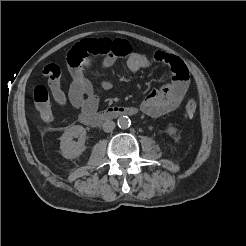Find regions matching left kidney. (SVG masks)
Instances as JSON below:
<instances>
[{
  "label": "left kidney",
  "mask_w": 246,
  "mask_h": 246,
  "mask_svg": "<svg viewBox=\"0 0 246 246\" xmlns=\"http://www.w3.org/2000/svg\"><path fill=\"white\" fill-rule=\"evenodd\" d=\"M166 133L169 134L170 136L176 135L177 128L174 126H168L166 129Z\"/></svg>",
  "instance_id": "1"
}]
</instances>
